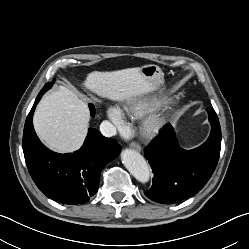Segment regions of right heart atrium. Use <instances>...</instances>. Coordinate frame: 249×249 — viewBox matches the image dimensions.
<instances>
[{"instance_id":"d8ad5b80","label":"right heart atrium","mask_w":249,"mask_h":249,"mask_svg":"<svg viewBox=\"0 0 249 249\" xmlns=\"http://www.w3.org/2000/svg\"><path fill=\"white\" fill-rule=\"evenodd\" d=\"M107 115L116 127L118 128L123 127L124 121H123V117H122L120 110L111 107L108 109Z\"/></svg>"}]
</instances>
